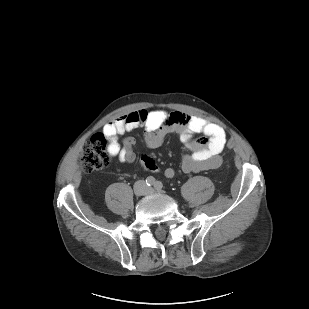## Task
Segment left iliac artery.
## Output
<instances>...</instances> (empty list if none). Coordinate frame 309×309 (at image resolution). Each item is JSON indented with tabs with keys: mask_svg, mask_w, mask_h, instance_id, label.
<instances>
[{
	"mask_svg": "<svg viewBox=\"0 0 309 309\" xmlns=\"http://www.w3.org/2000/svg\"><path fill=\"white\" fill-rule=\"evenodd\" d=\"M154 187L156 190L160 191L163 188V184L160 181H156Z\"/></svg>",
	"mask_w": 309,
	"mask_h": 309,
	"instance_id": "1",
	"label": "left iliac artery"
}]
</instances>
